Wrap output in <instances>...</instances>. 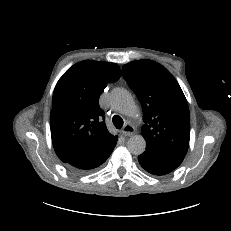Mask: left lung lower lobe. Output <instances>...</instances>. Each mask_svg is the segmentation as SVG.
<instances>
[{"mask_svg": "<svg viewBox=\"0 0 231 231\" xmlns=\"http://www.w3.org/2000/svg\"><path fill=\"white\" fill-rule=\"evenodd\" d=\"M138 161L147 172L154 175H164L176 169L183 161V157H174L146 149L144 153L138 156Z\"/></svg>", "mask_w": 231, "mask_h": 231, "instance_id": "left-lung-lower-lobe-1", "label": "left lung lower lobe"}]
</instances>
